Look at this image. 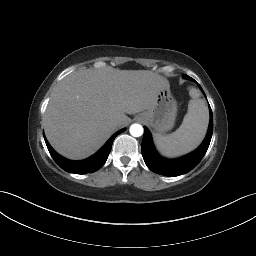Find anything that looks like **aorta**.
Returning a JSON list of instances; mask_svg holds the SVG:
<instances>
[{"label":"aorta","instance_id":"aorta-1","mask_svg":"<svg viewBox=\"0 0 256 256\" xmlns=\"http://www.w3.org/2000/svg\"><path fill=\"white\" fill-rule=\"evenodd\" d=\"M129 131L132 136L140 137V136H142L144 129H143L142 125L135 123L130 126Z\"/></svg>","mask_w":256,"mask_h":256}]
</instances>
